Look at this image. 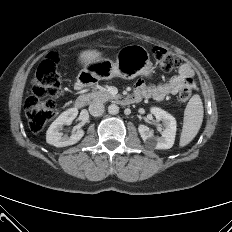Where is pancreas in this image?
<instances>
[{
    "instance_id": "pancreas-1",
    "label": "pancreas",
    "mask_w": 232,
    "mask_h": 232,
    "mask_svg": "<svg viewBox=\"0 0 232 232\" xmlns=\"http://www.w3.org/2000/svg\"><path fill=\"white\" fill-rule=\"evenodd\" d=\"M87 101L94 102H106L108 100L114 99L115 96L108 92L106 89L101 88L99 90L92 91L85 95Z\"/></svg>"
}]
</instances>
